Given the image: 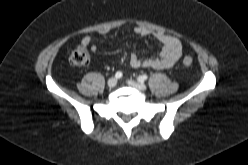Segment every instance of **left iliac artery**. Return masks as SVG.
<instances>
[{
    "instance_id": "left-iliac-artery-1",
    "label": "left iliac artery",
    "mask_w": 248,
    "mask_h": 165,
    "mask_svg": "<svg viewBox=\"0 0 248 165\" xmlns=\"http://www.w3.org/2000/svg\"><path fill=\"white\" fill-rule=\"evenodd\" d=\"M137 79L139 82H144L148 79V76L147 75H140Z\"/></svg>"
}]
</instances>
